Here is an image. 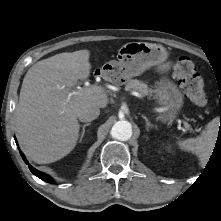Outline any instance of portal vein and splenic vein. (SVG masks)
I'll return each mask as SVG.
<instances>
[{
	"label": "portal vein and splenic vein",
	"mask_w": 221,
	"mask_h": 221,
	"mask_svg": "<svg viewBox=\"0 0 221 221\" xmlns=\"http://www.w3.org/2000/svg\"><path fill=\"white\" fill-rule=\"evenodd\" d=\"M83 88H79V91H73L71 93H69V97H71L72 95L75 94H79L82 91ZM85 91L88 93H101L103 92V88L101 86H97V85H90L85 87ZM185 127H189V125L187 123H185Z\"/></svg>",
	"instance_id": "18ae733b"
}]
</instances>
